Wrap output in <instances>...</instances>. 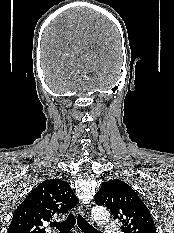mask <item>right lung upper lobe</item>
Wrapping results in <instances>:
<instances>
[{"label": "right lung upper lobe", "instance_id": "1", "mask_svg": "<svg viewBox=\"0 0 174 233\" xmlns=\"http://www.w3.org/2000/svg\"><path fill=\"white\" fill-rule=\"evenodd\" d=\"M69 184L45 180L32 190L13 214L8 233H45L43 225L78 204Z\"/></svg>", "mask_w": 174, "mask_h": 233}]
</instances>
